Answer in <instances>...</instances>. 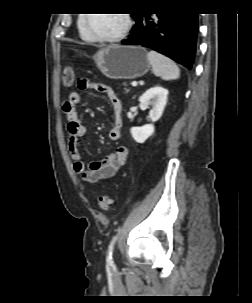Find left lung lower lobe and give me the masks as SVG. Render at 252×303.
Listing matches in <instances>:
<instances>
[{"mask_svg": "<svg viewBox=\"0 0 252 303\" xmlns=\"http://www.w3.org/2000/svg\"><path fill=\"white\" fill-rule=\"evenodd\" d=\"M197 33L196 13L139 14L131 37L122 43L151 48L190 70L196 53Z\"/></svg>", "mask_w": 252, "mask_h": 303, "instance_id": "obj_1", "label": "left lung lower lobe"}]
</instances>
